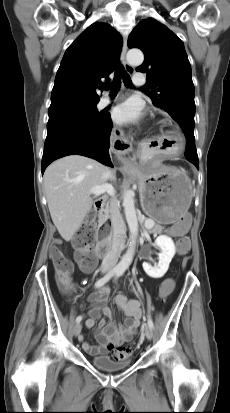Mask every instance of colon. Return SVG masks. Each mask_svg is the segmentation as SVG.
<instances>
[{
	"label": "colon",
	"mask_w": 230,
	"mask_h": 413,
	"mask_svg": "<svg viewBox=\"0 0 230 413\" xmlns=\"http://www.w3.org/2000/svg\"><path fill=\"white\" fill-rule=\"evenodd\" d=\"M190 219L187 215L180 217L175 222L174 226L181 231L179 237V244L177 250L178 258H185L187 255V249L191 247L192 242L187 235H183L189 226ZM95 240L94 224L92 216L88 222L81 228L74 240V247L77 250V259L81 266L85 269L92 268L96 264V258L91 253L90 248ZM50 258L54 266L55 274L59 285L64 291H70L72 289V282L70 274L72 272V264L64 255L58 245H53L50 250ZM175 276L171 275L170 278H163L160 282V296L165 299L172 290L175 289ZM126 353H131V348H124Z\"/></svg>",
	"instance_id": "1"
}]
</instances>
